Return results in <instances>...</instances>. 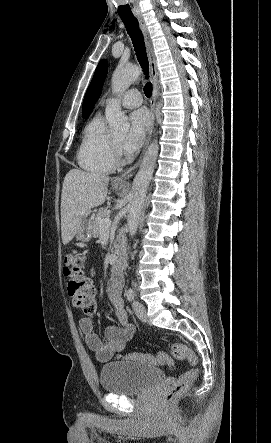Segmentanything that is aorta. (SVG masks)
I'll return each instance as SVG.
<instances>
[{"instance_id": "obj_1", "label": "aorta", "mask_w": 271, "mask_h": 443, "mask_svg": "<svg viewBox=\"0 0 271 443\" xmlns=\"http://www.w3.org/2000/svg\"><path fill=\"white\" fill-rule=\"evenodd\" d=\"M141 74V68L138 66H117L112 74L111 86L113 94H123L127 88L135 82ZM106 120L110 130L113 132H126L129 130L130 124L124 112H121L120 104H115L113 108H106ZM159 152L157 140H154L147 148L144 158L140 164L139 172H137L132 190L130 194V204L128 206V231L130 237H134L140 216L142 214L143 204L145 202L148 186L152 180L156 160Z\"/></svg>"}]
</instances>
